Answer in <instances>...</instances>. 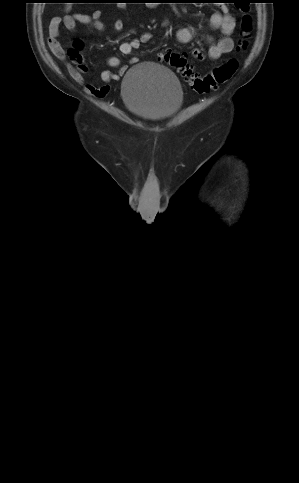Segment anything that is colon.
<instances>
[{
	"instance_id": "obj_1",
	"label": "colon",
	"mask_w": 299,
	"mask_h": 483,
	"mask_svg": "<svg viewBox=\"0 0 299 483\" xmlns=\"http://www.w3.org/2000/svg\"><path fill=\"white\" fill-rule=\"evenodd\" d=\"M251 31L252 19L250 15L246 14L243 16L241 22V33L244 39L239 43L238 51H244L246 49L248 44L247 38L250 36ZM81 46V42L76 41L68 51V57L71 62L69 70L76 77H82L87 70L84 58L80 52ZM160 57L171 67L175 68L198 93H209L217 89L220 85L229 81L238 69L237 59L231 58L213 69L211 73L199 75L180 53L167 51L163 52Z\"/></svg>"
}]
</instances>
